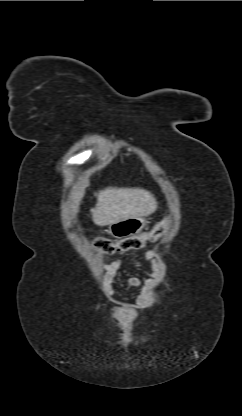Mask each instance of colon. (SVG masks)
Returning <instances> with one entry per match:
<instances>
[{"mask_svg":"<svg viewBox=\"0 0 242 416\" xmlns=\"http://www.w3.org/2000/svg\"><path fill=\"white\" fill-rule=\"evenodd\" d=\"M168 225V221H163L147 233L134 235L121 239L117 242H112L107 238L99 237L95 240V246L104 255H113L115 253H123L130 250H138L143 248L148 242H155L159 240L167 230Z\"/></svg>","mask_w":242,"mask_h":416,"instance_id":"obj_1","label":"colon"}]
</instances>
